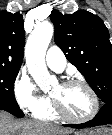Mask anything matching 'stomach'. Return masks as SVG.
Masks as SVG:
<instances>
[{"instance_id": "0dacf381", "label": "stomach", "mask_w": 112, "mask_h": 135, "mask_svg": "<svg viewBox=\"0 0 112 135\" xmlns=\"http://www.w3.org/2000/svg\"><path fill=\"white\" fill-rule=\"evenodd\" d=\"M110 133L107 132V129H98L96 131L91 132H76L74 135H109Z\"/></svg>"}]
</instances>
